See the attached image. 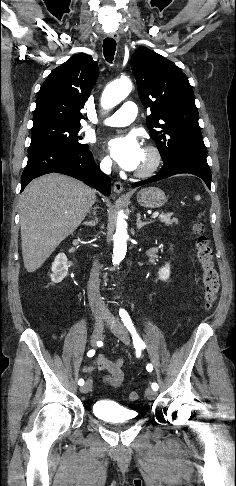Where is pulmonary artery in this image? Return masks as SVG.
Here are the masks:
<instances>
[{
  "mask_svg": "<svg viewBox=\"0 0 236 486\" xmlns=\"http://www.w3.org/2000/svg\"><path fill=\"white\" fill-rule=\"evenodd\" d=\"M137 116V106L134 102L127 101L111 116L103 119L102 124L113 127H123L132 123Z\"/></svg>",
  "mask_w": 236,
  "mask_h": 486,
  "instance_id": "obj_1",
  "label": "pulmonary artery"
}]
</instances>
